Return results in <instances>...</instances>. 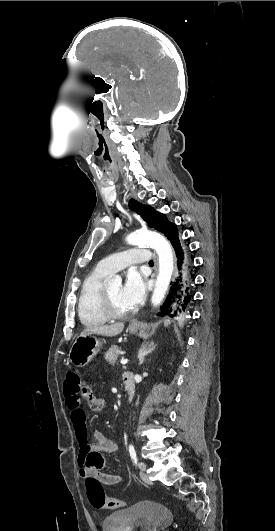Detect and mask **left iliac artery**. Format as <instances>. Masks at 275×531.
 <instances>
[{
  "instance_id": "left-iliac-artery-1",
  "label": "left iliac artery",
  "mask_w": 275,
  "mask_h": 531,
  "mask_svg": "<svg viewBox=\"0 0 275 531\" xmlns=\"http://www.w3.org/2000/svg\"><path fill=\"white\" fill-rule=\"evenodd\" d=\"M129 454H130V457H131L133 463L135 465H137L138 459H137V456H136L135 448H134V446L132 444L129 445Z\"/></svg>"
}]
</instances>
